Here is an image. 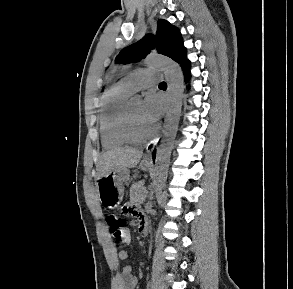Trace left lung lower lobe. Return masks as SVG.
I'll return each instance as SVG.
<instances>
[{"label": "left lung lower lobe", "mask_w": 293, "mask_h": 289, "mask_svg": "<svg viewBox=\"0 0 293 289\" xmlns=\"http://www.w3.org/2000/svg\"><path fill=\"white\" fill-rule=\"evenodd\" d=\"M185 81L187 82L190 79V62L186 60L184 63L181 64ZM153 158H155V151L153 152Z\"/></svg>", "instance_id": "1"}]
</instances>
